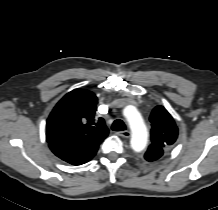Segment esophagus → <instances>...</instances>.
Instances as JSON below:
<instances>
[{
    "instance_id": "34e87169",
    "label": "esophagus",
    "mask_w": 218,
    "mask_h": 210,
    "mask_svg": "<svg viewBox=\"0 0 218 210\" xmlns=\"http://www.w3.org/2000/svg\"><path fill=\"white\" fill-rule=\"evenodd\" d=\"M116 134L118 136L125 137V138H129L131 135L130 131H128V130L117 132Z\"/></svg>"
}]
</instances>
